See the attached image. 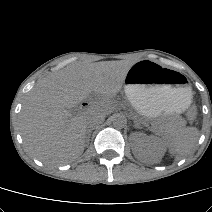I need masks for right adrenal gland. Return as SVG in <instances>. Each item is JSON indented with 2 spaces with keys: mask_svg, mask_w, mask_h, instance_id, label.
Instances as JSON below:
<instances>
[{
  "mask_svg": "<svg viewBox=\"0 0 212 212\" xmlns=\"http://www.w3.org/2000/svg\"><path fill=\"white\" fill-rule=\"evenodd\" d=\"M91 133H92V129H88L86 132V143L87 144H89Z\"/></svg>",
  "mask_w": 212,
  "mask_h": 212,
  "instance_id": "right-adrenal-gland-1",
  "label": "right adrenal gland"
}]
</instances>
